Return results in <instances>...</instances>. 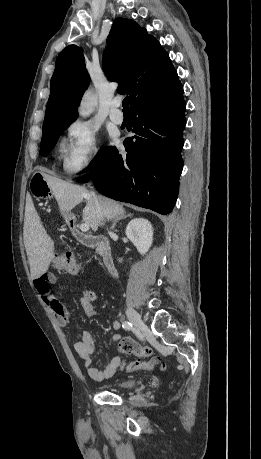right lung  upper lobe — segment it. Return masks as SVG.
I'll return each instance as SVG.
<instances>
[{"instance_id": "cb5924a9", "label": "right lung upper lobe", "mask_w": 261, "mask_h": 459, "mask_svg": "<svg viewBox=\"0 0 261 459\" xmlns=\"http://www.w3.org/2000/svg\"><path fill=\"white\" fill-rule=\"evenodd\" d=\"M103 70L117 91L129 94L130 107L165 93L179 82L168 53L132 20H115L107 38ZM90 82L84 55L76 45L59 55L50 83L43 129L73 122L77 105Z\"/></svg>"}]
</instances>
